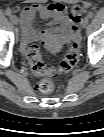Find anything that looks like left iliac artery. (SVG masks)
<instances>
[{
  "label": "left iliac artery",
  "mask_w": 104,
  "mask_h": 137,
  "mask_svg": "<svg viewBox=\"0 0 104 137\" xmlns=\"http://www.w3.org/2000/svg\"><path fill=\"white\" fill-rule=\"evenodd\" d=\"M89 18H92L94 16V13L92 11H90L87 15Z\"/></svg>",
  "instance_id": "left-iliac-artery-1"
}]
</instances>
